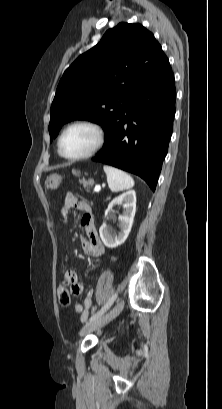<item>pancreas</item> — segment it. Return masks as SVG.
<instances>
[{
  "label": "pancreas",
  "instance_id": "pancreas-1",
  "mask_svg": "<svg viewBox=\"0 0 222 409\" xmlns=\"http://www.w3.org/2000/svg\"><path fill=\"white\" fill-rule=\"evenodd\" d=\"M80 183L84 186V188H87L92 186L94 181L92 179L89 180H81Z\"/></svg>",
  "mask_w": 222,
  "mask_h": 409
}]
</instances>
